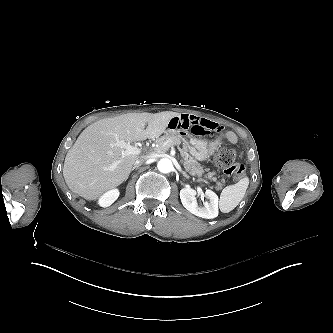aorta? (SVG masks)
<instances>
[{"label":"aorta","mask_w":333,"mask_h":333,"mask_svg":"<svg viewBox=\"0 0 333 333\" xmlns=\"http://www.w3.org/2000/svg\"><path fill=\"white\" fill-rule=\"evenodd\" d=\"M158 170L162 173H169L173 168L172 161L168 158H162L158 162Z\"/></svg>","instance_id":"762f6f07"}]
</instances>
